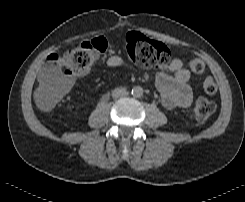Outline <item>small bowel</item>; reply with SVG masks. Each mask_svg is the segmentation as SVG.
I'll list each match as a JSON object with an SVG mask.
<instances>
[{"label": "small bowel", "mask_w": 245, "mask_h": 202, "mask_svg": "<svg viewBox=\"0 0 245 202\" xmlns=\"http://www.w3.org/2000/svg\"><path fill=\"white\" fill-rule=\"evenodd\" d=\"M123 62L124 60L120 55H112L107 60L109 67H119ZM190 77L189 70L184 67L182 60L179 58H174L169 64L159 69L155 77V84L164 108L171 110L177 107L189 106L193 98L192 89L189 85ZM44 78L45 75L39 77L37 92L41 88ZM73 86L74 80L71 79L69 91Z\"/></svg>", "instance_id": "1"}]
</instances>
